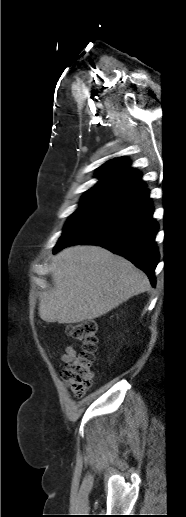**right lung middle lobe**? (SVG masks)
Masks as SVG:
<instances>
[{
	"instance_id": "obj_1",
	"label": "right lung middle lobe",
	"mask_w": 186,
	"mask_h": 517,
	"mask_svg": "<svg viewBox=\"0 0 186 517\" xmlns=\"http://www.w3.org/2000/svg\"><path fill=\"white\" fill-rule=\"evenodd\" d=\"M114 204L115 202L109 200L83 198L80 207L68 219L58 243L65 241L77 230L97 218Z\"/></svg>"
}]
</instances>
